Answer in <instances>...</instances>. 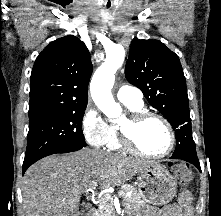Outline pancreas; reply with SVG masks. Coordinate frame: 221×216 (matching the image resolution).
Masks as SVG:
<instances>
[{
  "instance_id": "cf45deb5",
  "label": "pancreas",
  "mask_w": 221,
  "mask_h": 216,
  "mask_svg": "<svg viewBox=\"0 0 221 216\" xmlns=\"http://www.w3.org/2000/svg\"><path fill=\"white\" fill-rule=\"evenodd\" d=\"M130 191L131 195H126L125 192ZM123 206L127 212H131L132 209L136 206L143 205L138 190L131 186L126 185L122 190ZM115 211L113 207V201L110 196H105L102 199L101 206L96 210L93 216H115Z\"/></svg>"
}]
</instances>
